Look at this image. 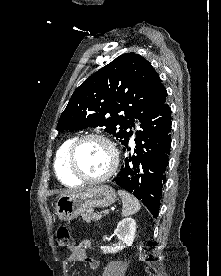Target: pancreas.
I'll list each match as a JSON object with an SVG mask.
<instances>
[{
	"label": "pancreas",
	"instance_id": "pancreas-1",
	"mask_svg": "<svg viewBox=\"0 0 221 276\" xmlns=\"http://www.w3.org/2000/svg\"><path fill=\"white\" fill-rule=\"evenodd\" d=\"M81 217L84 221L89 223L91 220L97 221V220L101 219L102 215L89 211L87 213L81 214Z\"/></svg>",
	"mask_w": 221,
	"mask_h": 276
}]
</instances>
